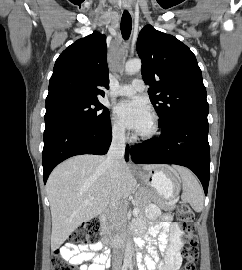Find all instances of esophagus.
I'll use <instances>...</instances> for the list:
<instances>
[{"label":"esophagus","instance_id":"esophagus-1","mask_svg":"<svg viewBox=\"0 0 242 270\" xmlns=\"http://www.w3.org/2000/svg\"><path fill=\"white\" fill-rule=\"evenodd\" d=\"M123 8L126 9V10H130V7L128 5H123ZM132 163V161H130Z\"/></svg>","mask_w":242,"mask_h":270}]
</instances>
